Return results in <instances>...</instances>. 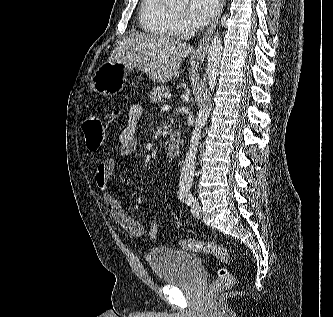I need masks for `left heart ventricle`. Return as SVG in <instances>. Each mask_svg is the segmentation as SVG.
<instances>
[{
  "mask_svg": "<svg viewBox=\"0 0 333 317\" xmlns=\"http://www.w3.org/2000/svg\"><path fill=\"white\" fill-rule=\"evenodd\" d=\"M183 11H184L183 7H177V8L174 9V12H175L176 14H182Z\"/></svg>",
  "mask_w": 333,
  "mask_h": 317,
  "instance_id": "b2bd125f",
  "label": "left heart ventricle"
}]
</instances>
